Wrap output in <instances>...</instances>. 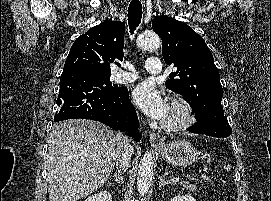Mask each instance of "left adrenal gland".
<instances>
[{
    "mask_svg": "<svg viewBox=\"0 0 271 201\" xmlns=\"http://www.w3.org/2000/svg\"><path fill=\"white\" fill-rule=\"evenodd\" d=\"M159 180H160L159 181V188H161L162 186H165L166 184H170V182L165 181L162 176H159Z\"/></svg>",
    "mask_w": 271,
    "mask_h": 201,
    "instance_id": "a2214340",
    "label": "left adrenal gland"
}]
</instances>
